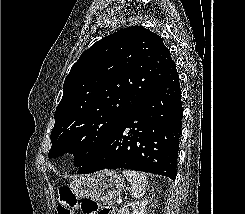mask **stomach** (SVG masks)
<instances>
[{
  "label": "stomach",
  "instance_id": "1",
  "mask_svg": "<svg viewBox=\"0 0 245 214\" xmlns=\"http://www.w3.org/2000/svg\"><path fill=\"white\" fill-rule=\"evenodd\" d=\"M124 187V178L114 170H102L94 175L79 176L70 185L77 197L104 202L119 196Z\"/></svg>",
  "mask_w": 245,
  "mask_h": 214
}]
</instances>
